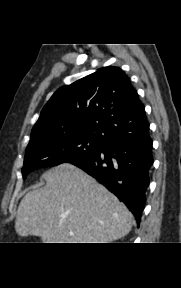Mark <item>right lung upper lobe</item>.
Segmentation results:
<instances>
[{
	"label": "right lung upper lobe",
	"instance_id": "cb5924a9",
	"mask_svg": "<svg viewBox=\"0 0 181 288\" xmlns=\"http://www.w3.org/2000/svg\"><path fill=\"white\" fill-rule=\"evenodd\" d=\"M86 135L104 144L149 136L143 104L118 67H104L58 89L44 106L31 139Z\"/></svg>",
	"mask_w": 181,
	"mask_h": 288
}]
</instances>
